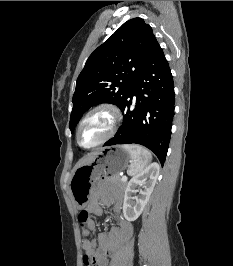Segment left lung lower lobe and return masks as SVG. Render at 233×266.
I'll use <instances>...</instances> for the list:
<instances>
[{
  "mask_svg": "<svg viewBox=\"0 0 233 266\" xmlns=\"http://www.w3.org/2000/svg\"><path fill=\"white\" fill-rule=\"evenodd\" d=\"M174 104L173 77L163 50L158 45L120 107L124 113L123 125L104 146L140 144L153 151L161 165H164L171 136Z\"/></svg>",
  "mask_w": 233,
  "mask_h": 266,
  "instance_id": "obj_1",
  "label": "left lung lower lobe"
}]
</instances>
